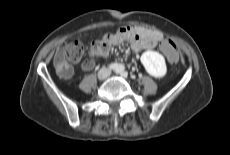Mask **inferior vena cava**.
Segmentation results:
<instances>
[{
    "label": "inferior vena cava",
    "instance_id": "1",
    "mask_svg": "<svg viewBox=\"0 0 230 155\" xmlns=\"http://www.w3.org/2000/svg\"><path fill=\"white\" fill-rule=\"evenodd\" d=\"M110 74H111V71L109 69H105V70L102 69L99 71V76L101 78H107L108 76H110Z\"/></svg>",
    "mask_w": 230,
    "mask_h": 155
}]
</instances>
